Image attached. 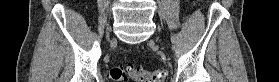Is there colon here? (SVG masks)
Wrapping results in <instances>:
<instances>
[{
	"label": "colon",
	"mask_w": 279,
	"mask_h": 82,
	"mask_svg": "<svg viewBox=\"0 0 279 82\" xmlns=\"http://www.w3.org/2000/svg\"><path fill=\"white\" fill-rule=\"evenodd\" d=\"M130 75L136 82H162L164 80L165 71L162 69L156 70L154 73L139 68L116 66L111 69L110 76L114 82L127 81Z\"/></svg>",
	"instance_id": "5ec220e1"
}]
</instances>
